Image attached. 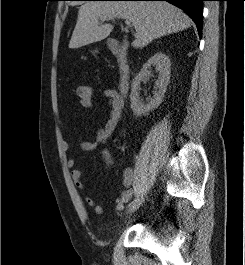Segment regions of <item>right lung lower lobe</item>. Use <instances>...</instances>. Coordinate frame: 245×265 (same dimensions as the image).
Listing matches in <instances>:
<instances>
[{"label": "right lung lower lobe", "mask_w": 245, "mask_h": 265, "mask_svg": "<svg viewBox=\"0 0 245 265\" xmlns=\"http://www.w3.org/2000/svg\"><path fill=\"white\" fill-rule=\"evenodd\" d=\"M89 1V0H88ZM118 1V0H117ZM119 1H168L184 10L197 26L199 36L202 33L203 4L205 0H119Z\"/></svg>", "instance_id": "1"}]
</instances>
